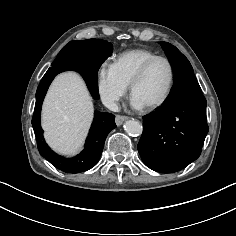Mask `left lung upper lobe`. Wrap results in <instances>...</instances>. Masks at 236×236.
<instances>
[{
    "label": "left lung upper lobe",
    "instance_id": "obj_1",
    "mask_svg": "<svg viewBox=\"0 0 236 236\" xmlns=\"http://www.w3.org/2000/svg\"><path fill=\"white\" fill-rule=\"evenodd\" d=\"M174 70V81L184 75L193 73V68L188 59L172 44L161 42Z\"/></svg>",
    "mask_w": 236,
    "mask_h": 236
}]
</instances>
